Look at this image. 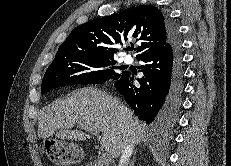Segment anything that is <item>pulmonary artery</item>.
<instances>
[{
    "instance_id": "1",
    "label": "pulmonary artery",
    "mask_w": 231,
    "mask_h": 166,
    "mask_svg": "<svg viewBox=\"0 0 231 166\" xmlns=\"http://www.w3.org/2000/svg\"><path fill=\"white\" fill-rule=\"evenodd\" d=\"M124 62L126 64H131L133 62L132 58L130 56H125L124 57Z\"/></svg>"
}]
</instances>
